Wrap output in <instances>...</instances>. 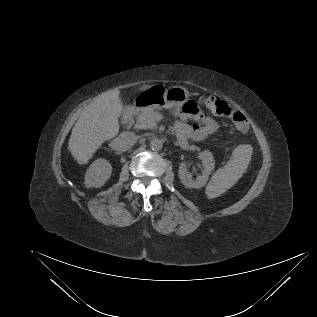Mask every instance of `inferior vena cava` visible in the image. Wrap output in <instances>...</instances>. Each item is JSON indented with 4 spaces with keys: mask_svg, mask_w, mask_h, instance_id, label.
<instances>
[{
    "mask_svg": "<svg viewBox=\"0 0 317 317\" xmlns=\"http://www.w3.org/2000/svg\"><path fill=\"white\" fill-rule=\"evenodd\" d=\"M137 141L135 134L131 132L121 133L118 137L111 141L110 147L117 153L129 150Z\"/></svg>",
    "mask_w": 317,
    "mask_h": 317,
    "instance_id": "1",
    "label": "inferior vena cava"
}]
</instances>
